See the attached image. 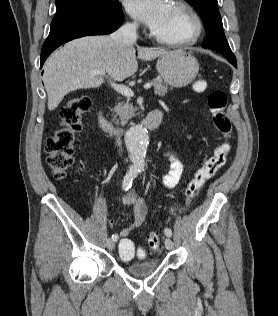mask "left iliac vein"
I'll return each instance as SVG.
<instances>
[{"instance_id": "obj_1", "label": "left iliac vein", "mask_w": 278, "mask_h": 316, "mask_svg": "<svg viewBox=\"0 0 278 316\" xmlns=\"http://www.w3.org/2000/svg\"><path fill=\"white\" fill-rule=\"evenodd\" d=\"M165 247L168 250H172L174 247L173 241L170 238L165 239Z\"/></svg>"}]
</instances>
